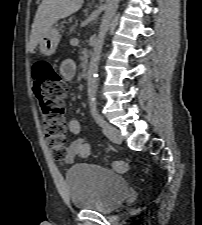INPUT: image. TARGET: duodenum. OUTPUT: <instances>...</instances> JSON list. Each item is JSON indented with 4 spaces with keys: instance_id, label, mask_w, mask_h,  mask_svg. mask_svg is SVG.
Listing matches in <instances>:
<instances>
[{
    "instance_id": "1",
    "label": "duodenum",
    "mask_w": 202,
    "mask_h": 225,
    "mask_svg": "<svg viewBox=\"0 0 202 225\" xmlns=\"http://www.w3.org/2000/svg\"><path fill=\"white\" fill-rule=\"evenodd\" d=\"M81 65H82L83 74L86 75L89 68V59H88V56L85 54L82 56Z\"/></svg>"
}]
</instances>
